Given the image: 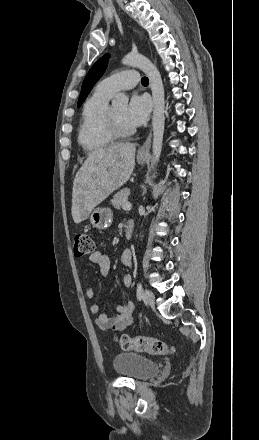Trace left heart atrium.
I'll return each mask as SVG.
<instances>
[{
	"mask_svg": "<svg viewBox=\"0 0 259 440\" xmlns=\"http://www.w3.org/2000/svg\"><path fill=\"white\" fill-rule=\"evenodd\" d=\"M150 111V99L145 95L134 94L126 107V121L132 127L141 126L148 120Z\"/></svg>",
	"mask_w": 259,
	"mask_h": 440,
	"instance_id": "39dd6f15",
	"label": "left heart atrium"
}]
</instances>
